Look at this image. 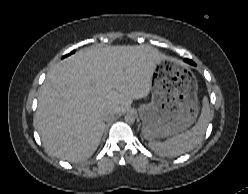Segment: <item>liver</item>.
<instances>
[{
  "instance_id": "1",
  "label": "liver",
  "mask_w": 248,
  "mask_h": 194,
  "mask_svg": "<svg viewBox=\"0 0 248 194\" xmlns=\"http://www.w3.org/2000/svg\"><path fill=\"white\" fill-rule=\"evenodd\" d=\"M164 56L143 45L92 46L54 65L39 88L34 126L45 150L78 163L91 157L109 112L127 110L148 96Z\"/></svg>"
}]
</instances>
